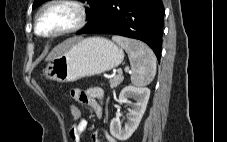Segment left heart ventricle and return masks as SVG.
<instances>
[{
  "label": "left heart ventricle",
  "instance_id": "left-heart-ventricle-1",
  "mask_svg": "<svg viewBox=\"0 0 227 142\" xmlns=\"http://www.w3.org/2000/svg\"><path fill=\"white\" fill-rule=\"evenodd\" d=\"M76 17V12L72 7L54 6L42 14L38 29L44 34L58 32L72 26Z\"/></svg>",
  "mask_w": 227,
  "mask_h": 142
}]
</instances>
